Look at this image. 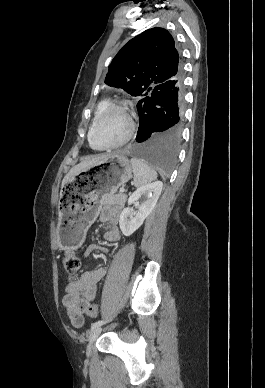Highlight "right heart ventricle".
I'll use <instances>...</instances> for the list:
<instances>
[{"label":"right heart ventricle","mask_w":265,"mask_h":388,"mask_svg":"<svg viewBox=\"0 0 265 388\" xmlns=\"http://www.w3.org/2000/svg\"><path fill=\"white\" fill-rule=\"evenodd\" d=\"M110 101L109 100H104L102 101L97 109H96V112H95V118L97 117V115L102 111L103 108H105L107 105H109ZM90 130H91V127L89 128V132H88V141L90 143L91 146H93V144L91 143V140H90Z\"/></svg>","instance_id":"1"}]
</instances>
